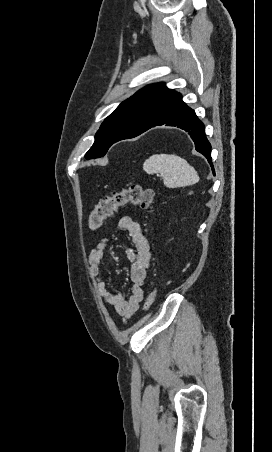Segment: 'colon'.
Here are the masks:
<instances>
[{
    "instance_id": "colon-1",
    "label": "colon",
    "mask_w": 272,
    "mask_h": 452,
    "mask_svg": "<svg viewBox=\"0 0 272 452\" xmlns=\"http://www.w3.org/2000/svg\"><path fill=\"white\" fill-rule=\"evenodd\" d=\"M155 192L152 189H145L138 184H130L119 190L113 191L109 195L101 198L90 210L88 223L91 229H99L103 222L114 216L116 212L127 206L140 207L142 209L152 208L155 202ZM158 290L153 288L144 304L147 310L155 301Z\"/></svg>"
}]
</instances>
